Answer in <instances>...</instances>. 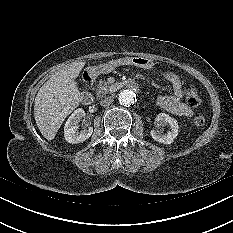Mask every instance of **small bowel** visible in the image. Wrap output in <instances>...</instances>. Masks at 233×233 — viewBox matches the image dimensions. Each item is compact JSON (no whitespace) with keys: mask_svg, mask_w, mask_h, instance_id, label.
<instances>
[{"mask_svg":"<svg viewBox=\"0 0 233 233\" xmlns=\"http://www.w3.org/2000/svg\"><path fill=\"white\" fill-rule=\"evenodd\" d=\"M165 78L172 85L173 94L171 96L160 95L156 99V105L171 114L191 117L193 111L183 101V88L180 78L173 72H166Z\"/></svg>","mask_w":233,"mask_h":233,"instance_id":"small-bowel-1","label":"small bowel"}]
</instances>
